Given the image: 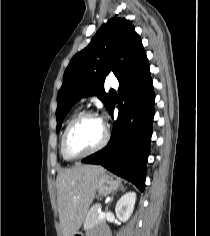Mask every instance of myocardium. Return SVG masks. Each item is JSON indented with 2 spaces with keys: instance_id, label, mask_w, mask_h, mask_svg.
<instances>
[{
  "instance_id": "f54148a6",
  "label": "myocardium",
  "mask_w": 210,
  "mask_h": 236,
  "mask_svg": "<svg viewBox=\"0 0 210 236\" xmlns=\"http://www.w3.org/2000/svg\"><path fill=\"white\" fill-rule=\"evenodd\" d=\"M85 118H96V115L92 112H82L79 113L78 115H76L67 125L63 137H62V142H61V151L63 156L65 157V159L67 160H76V159H80L83 157H86L88 155H91L99 150H101L108 142L109 140V130L106 126L103 125V137L101 139V141L93 148L83 152V153H79V154H71L68 150V139L70 136V133L72 131V129L74 128V126L80 122L81 120L85 119Z\"/></svg>"
}]
</instances>
